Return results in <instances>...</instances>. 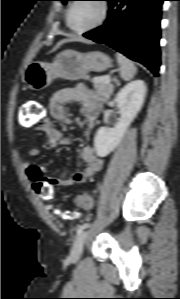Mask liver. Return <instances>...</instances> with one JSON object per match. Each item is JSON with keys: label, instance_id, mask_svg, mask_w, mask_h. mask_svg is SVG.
<instances>
[{"label": "liver", "instance_id": "liver-1", "mask_svg": "<svg viewBox=\"0 0 180 299\" xmlns=\"http://www.w3.org/2000/svg\"><path fill=\"white\" fill-rule=\"evenodd\" d=\"M77 40H78V38H76V37L62 39L56 44V46L54 47L53 50L59 48L61 45L65 44V43H69V42H73V41H77Z\"/></svg>", "mask_w": 180, "mask_h": 299}]
</instances>
